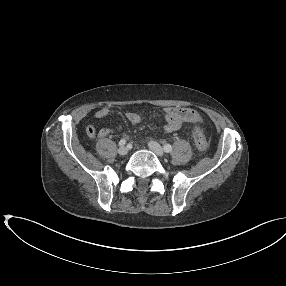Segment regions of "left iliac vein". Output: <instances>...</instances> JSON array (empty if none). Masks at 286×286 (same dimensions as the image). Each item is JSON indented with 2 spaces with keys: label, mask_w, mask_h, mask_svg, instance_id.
I'll return each mask as SVG.
<instances>
[{
  "label": "left iliac vein",
  "mask_w": 286,
  "mask_h": 286,
  "mask_svg": "<svg viewBox=\"0 0 286 286\" xmlns=\"http://www.w3.org/2000/svg\"><path fill=\"white\" fill-rule=\"evenodd\" d=\"M149 148L159 157L164 156V151L162 147L156 141H150L148 143Z\"/></svg>",
  "instance_id": "4c4485c4"
}]
</instances>
